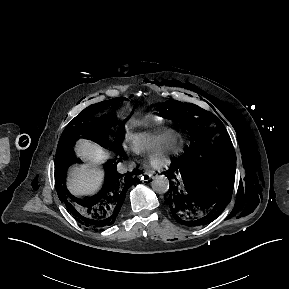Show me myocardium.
I'll use <instances>...</instances> for the list:
<instances>
[{"label": "myocardium", "instance_id": "1", "mask_svg": "<svg viewBox=\"0 0 289 289\" xmlns=\"http://www.w3.org/2000/svg\"><path fill=\"white\" fill-rule=\"evenodd\" d=\"M184 149V140L177 137L162 148L153 152L150 155V164L157 170L167 168L184 152Z\"/></svg>", "mask_w": 289, "mask_h": 289}]
</instances>
